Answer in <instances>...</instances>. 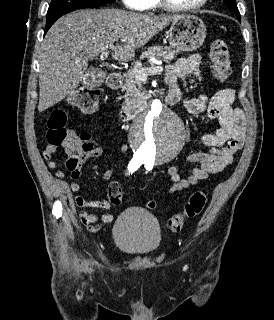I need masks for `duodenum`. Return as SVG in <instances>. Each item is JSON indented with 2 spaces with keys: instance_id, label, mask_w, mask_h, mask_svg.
<instances>
[{
  "instance_id": "duodenum-1",
  "label": "duodenum",
  "mask_w": 274,
  "mask_h": 320,
  "mask_svg": "<svg viewBox=\"0 0 274 320\" xmlns=\"http://www.w3.org/2000/svg\"><path fill=\"white\" fill-rule=\"evenodd\" d=\"M107 83L111 90H118L122 83V75L118 72H112L107 77ZM180 100V94L177 91L169 92L165 97V102L168 104H176ZM146 107L145 102L139 103L136 107L125 109L121 116L124 122H131L135 119Z\"/></svg>"
}]
</instances>
